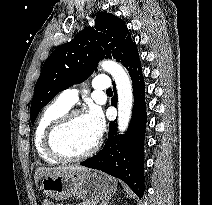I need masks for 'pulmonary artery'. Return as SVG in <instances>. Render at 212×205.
Returning a JSON list of instances; mask_svg holds the SVG:
<instances>
[{
    "label": "pulmonary artery",
    "mask_w": 212,
    "mask_h": 205,
    "mask_svg": "<svg viewBox=\"0 0 212 205\" xmlns=\"http://www.w3.org/2000/svg\"><path fill=\"white\" fill-rule=\"evenodd\" d=\"M110 86V79L106 75H97L92 80V87L96 90L106 91L110 89ZM78 95V88H69L60 93V95L58 96V100L66 106L71 107L77 102Z\"/></svg>",
    "instance_id": "pulmonary-artery-1"
}]
</instances>
